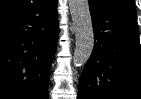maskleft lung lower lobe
<instances>
[{
	"label": "left lung lower lobe",
	"mask_w": 141,
	"mask_h": 99,
	"mask_svg": "<svg viewBox=\"0 0 141 99\" xmlns=\"http://www.w3.org/2000/svg\"><path fill=\"white\" fill-rule=\"evenodd\" d=\"M94 48L78 99H141V47L133 4L89 0Z\"/></svg>",
	"instance_id": "0a47b994"
}]
</instances>
